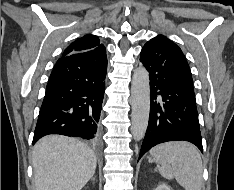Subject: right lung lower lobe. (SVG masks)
<instances>
[{"label":"right lung lower lobe","mask_w":234,"mask_h":190,"mask_svg":"<svg viewBox=\"0 0 234 190\" xmlns=\"http://www.w3.org/2000/svg\"><path fill=\"white\" fill-rule=\"evenodd\" d=\"M106 71L105 49L61 57L48 80L33 144L48 134L95 142L100 135Z\"/></svg>","instance_id":"right-lung-lower-lobe-1"}]
</instances>
